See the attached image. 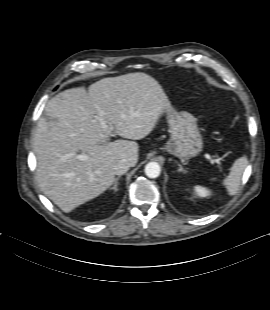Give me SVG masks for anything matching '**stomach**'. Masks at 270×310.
<instances>
[{
    "label": "stomach",
    "instance_id": "stomach-1",
    "mask_svg": "<svg viewBox=\"0 0 270 310\" xmlns=\"http://www.w3.org/2000/svg\"><path fill=\"white\" fill-rule=\"evenodd\" d=\"M170 129V139L165 150L183 160L197 156L203 149V140L197 126L196 118L186 112H178L172 107L166 111Z\"/></svg>",
    "mask_w": 270,
    "mask_h": 310
}]
</instances>
